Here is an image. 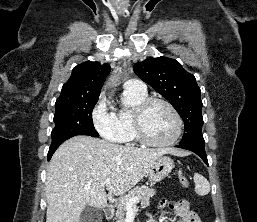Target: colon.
Here are the masks:
<instances>
[{"mask_svg":"<svg viewBox=\"0 0 257 222\" xmlns=\"http://www.w3.org/2000/svg\"><path fill=\"white\" fill-rule=\"evenodd\" d=\"M179 183L184 188H187L189 185V180L187 176L182 172L179 174Z\"/></svg>","mask_w":257,"mask_h":222,"instance_id":"1","label":"colon"}]
</instances>
